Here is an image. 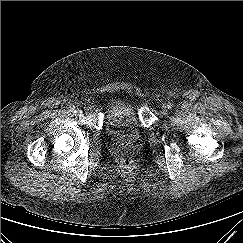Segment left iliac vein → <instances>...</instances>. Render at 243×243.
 <instances>
[{"label": "left iliac vein", "instance_id": "obj_1", "mask_svg": "<svg viewBox=\"0 0 243 243\" xmlns=\"http://www.w3.org/2000/svg\"><path fill=\"white\" fill-rule=\"evenodd\" d=\"M162 113L163 114H167V112H168V107H167V105H162Z\"/></svg>", "mask_w": 243, "mask_h": 243}]
</instances>
